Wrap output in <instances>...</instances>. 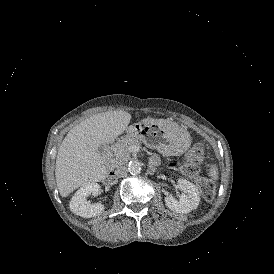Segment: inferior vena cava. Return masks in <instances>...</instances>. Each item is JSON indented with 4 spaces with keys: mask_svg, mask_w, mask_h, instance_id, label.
I'll return each mask as SVG.
<instances>
[{
    "mask_svg": "<svg viewBox=\"0 0 274 274\" xmlns=\"http://www.w3.org/2000/svg\"><path fill=\"white\" fill-rule=\"evenodd\" d=\"M128 173V168L125 166H119L116 171H115V175L117 177H123Z\"/></svg>",
    "mask_w": 274,
    "mask_h": 274,
    "instance_id": "obj_1",
    "label": "inferior vena cava"
}]
</instances>
